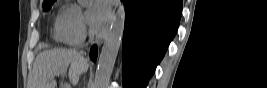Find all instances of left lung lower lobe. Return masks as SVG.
Wrapping results in <instances>:
<instances>
[{
    "label": "left lung lower lobe",
    "instance_id": "left-lung-lower-lobe-1",
    "mask_svg": "<svg viewBox=\"0 0 267 88\" xmlns=\"http://www.w3.org/2000/svg\"><path fill=\"white\" fill-rule=\"evenodd\" d=\"M123 86L145 88L175 36L182 0H124Z\"/></svg>",
    "mask_w": 267,
    "mask_h": 88
}]
</instances>
